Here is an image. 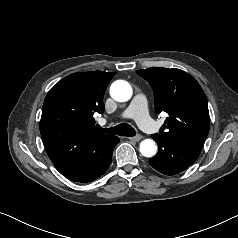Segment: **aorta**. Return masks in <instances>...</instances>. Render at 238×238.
I'll return each instance as SVG.
<instances>
[{"instance_id":"762f6f07","label":"aorta","mask_w":238,"mask_h":238,"mask_svg":"<svg viewBox=\"0 0 238 238\" xmlns=\"http://www.w3.org/2000/svg\"><path fill=\"white\" fill-rule=\"evenodd\" d=\"M132 93L131 85L124 80H117L110 87L111 97L118 102L128 101ZM139 150L144 157H152L156 154L157 147L153 140L145 139L141 141Z\"/></svg>"}]
</instances>
